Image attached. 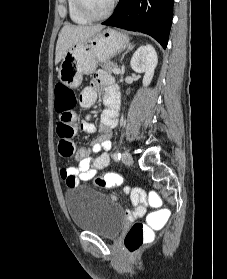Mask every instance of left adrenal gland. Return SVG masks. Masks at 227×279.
Returning <instances> with one entry per match:
<instances>
[{"label": "left adrenal gland", "mask_w": 227, "mask_h": 279, "mask_svg": "<svg viewBox=\"0 0 227 279\" xmlns=\"http://www.w3.org/2000/svg\"><path fill=\"white\" fill-rule=\"evenodd\" d=\"M134 46H135L134 44H129V45H128L127 51L122 55L120 61L123 60L124 56H125L129 51H131V50L134 48ZM123 69H124V67H123Z\"/></svg>", "instance_id": "obj_1"}]
</instances>
